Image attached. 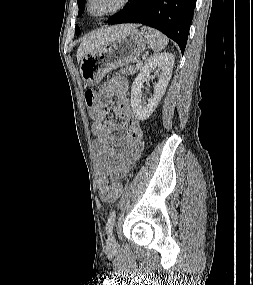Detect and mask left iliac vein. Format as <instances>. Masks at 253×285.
Wrapping results in <instances>:
<instances>
[{
	"label": "left iliac vein",
	"mask_w": 253,
	"mask_h": 285,
	"mask_svg": "<svg viewBox=\"0 0 253 285\" xmlns=\"http://www.w3.org/2000/svg\"><path fill=\"white\" fill-rule=\"evenodd\" d=\"M116 245H117V243H116L115 236H114L113 232H111V233H109V235H108L107 247H108L109 249H113V248L116 247Z\"/></svg>",
	"instance_id": "left-iliac-vein-1"
}]
</instances>
